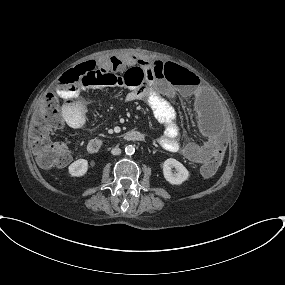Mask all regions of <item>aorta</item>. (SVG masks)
Returning a JSON list of instances; mask_svg holds the SVG:
<instances>
[{"label":"aorta","mask_w":285,"mask_h":285,"mask_svg":"<svg viewBox=\"0 0 285 285\" xmlns=\"http://www.w3.org/2000/svg\"><path fill=\"white\" fill-rule=\"evenodd\" d=\"M134 152H135V147L133 145H127L125 147V153L127 155H132V154H134Z\"/></svg>","instance_id":"aorta-1"}]
</instances>
